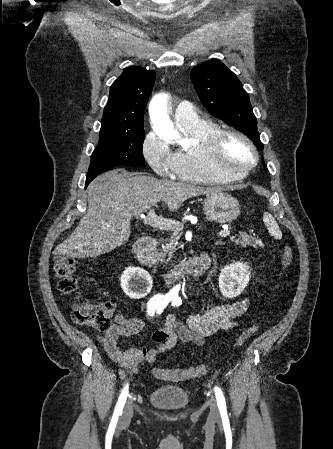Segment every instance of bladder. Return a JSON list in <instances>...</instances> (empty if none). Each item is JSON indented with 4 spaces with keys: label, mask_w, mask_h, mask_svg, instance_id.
Instances as JSON below:
<instances>
[{
    "label": "bladder",
    "mask_w": 333,
    "mask_h": 449,
    "mask_svg": "<svg viewBox=\"0 0 333 449\" xmlns=\"http://www.w3.org/2000/svg\"><path fill=\"white\" fill-rule=\"evenodd\" d=\"M149 401L159 409L177 410L188 405L189 395L184 389L177 386L162 385L150 392Z\"/></svg>",
    "instance_id": "bladder-1"
}]
</instances>
